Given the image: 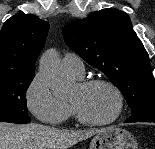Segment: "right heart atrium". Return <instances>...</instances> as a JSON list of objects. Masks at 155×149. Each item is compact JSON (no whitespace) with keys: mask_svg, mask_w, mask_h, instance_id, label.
Masks as SVG:
<instances>
[{"mask_svg":"<svg viewBox=\"0 0 155 149\" xmlns=\"http://www.w3.org/2000/svg\"><path fill=\"white\" fill-rule=\"evenodd\" d=\"M25 98L29 111L43 123L57 126L64 123L70 115L69 105L52 93L40 72L28 84Z\"/></svg>","mask_w":155,"mask_h":149,"instance_id":"1","label":"right heart atrium"}]
</instances>
